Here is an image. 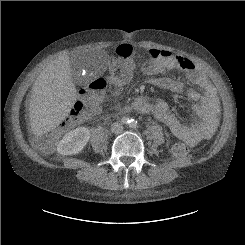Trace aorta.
I'll return each instance as SVG.
<instances>
[{
    "label": "aorta",
    "mask_w": 245,
    "mask_h": 245,
    "mask_svg": "<svg viewBox=\"0 0 245 245\" xmlns=\"http://www.w3.org/2000/svg\"><path fill=\"white\" fill-rule=\"evenodd\" d=\"M128 124H129V126L132 127V128L136 126V122L133 121V120L129 121Z\"/></svg>",
    "instance_id": "aorta-1"
}]
</instances>
